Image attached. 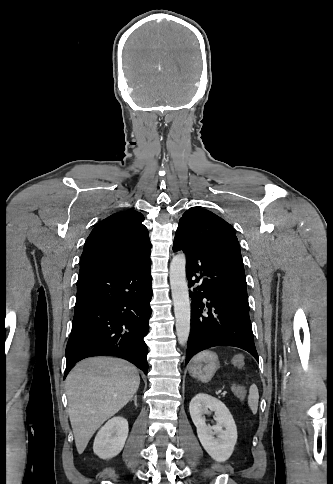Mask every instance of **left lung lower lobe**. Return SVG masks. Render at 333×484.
Segmentation results:
<instances>
[{"label":"left lung lower lobe","mask_w":333,"mask_h":484,"mask_svg":"<svg viewBox=\"0 0 333 484\" xmlns=\"http://www.w3.org/2000/svg\"><path fill=\"white\" fill-rule=\"evenodd\" d=\"M178 250L186 253L189 287L205 276L200 286L190 291L191 331L186 363L196 353L215 346L239 347L258 361L237 238L228 232L196 234L181 224L173 244V251Z\"/></svg>","instance_id":"obj_1"}]
</instances>
